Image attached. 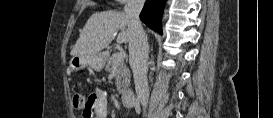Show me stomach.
I'll return each instance as SVG.
<instances>
[{
  "mask_svg": "<svg viewBox=\"0 0 273 118\" xmlns=\"http://www.w3.org/2000/svg\"><path fill=\"white\" fill-rule=\"evenodd\" d=\"M106 62V55L101 52H97L89 55H75L71 58L69 66L72 70L78 71L90 66L95 71L99 72L104 68Z\"/></svg>",
  "mask_w": 273,
  "mask_h": 118,
  "instance_id": "1",
  "label": "stomach"
}]
</instances>
